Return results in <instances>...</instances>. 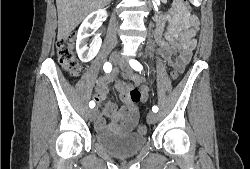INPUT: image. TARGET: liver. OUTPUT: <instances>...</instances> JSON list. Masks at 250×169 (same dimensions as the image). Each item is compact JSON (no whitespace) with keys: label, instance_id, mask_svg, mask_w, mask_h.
Here are the masks:
<instances>
[{"label":"liver","instance_id":"obj_1","mask_svg":"<svg viewBox=\"0 0 250 169\" xmlns=\"http://www.w3.org/2000/svg\"><path fill=\"white\" fill-rule=\"evenodd\" d=\"M111 0H56L58 38H67L88 12L106 6Z\"/></svg>","mask_w":250,"mask_h":169}]
</instances>
